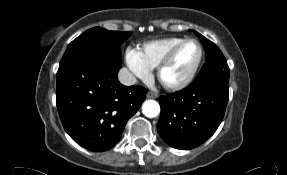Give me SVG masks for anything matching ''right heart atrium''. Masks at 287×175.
Here are the masks:
<instances>
[{
  "label": "right heart atrium",
  "instance_id": "d8ad5b80",
  "mask_svg": "<svg viewBox=\"0 0 287 175\" xmlns=\"http://www.w3.org/2000/svg\"><path fill=\"white\" fill-rule=\"evenodd\" d=\"M125 62L131 73L141 80H147L150 77V69L140 60L136 50L127 49L125 52Z\"/></svg>",
  "mask_w": 287,
  "mask_h": 175
}]
</instances>
